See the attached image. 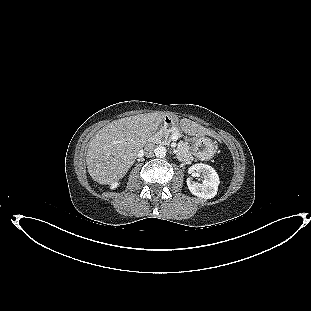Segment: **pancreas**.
I'll list each match as a JSON object with an SVG mask.
<instances>
[{"instance_id":"cf45deb5","label":"pancreas","mask_w":311,"mask_h":311,"mask_svg":"<svg viewBox=\"0 0 311 311\" xmlns=\"http://www.w3.org/2000/svg\"><path fill=\"white\" fill-rule=\"evenodd\" d=\"M172 134H177L179 137H182L181 132L177 128H169V129L162 128L155 134V138H158L164 144H169L171 142ZM178 149L180 151L188 153V155L190 154L187 142L180 141Z\"/></svg>"}]
</instances>
